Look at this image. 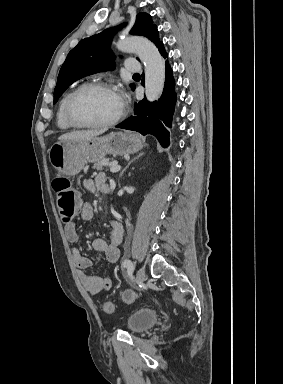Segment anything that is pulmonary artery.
Returning a JSON list of instances; mask_svg holds the SVG:
<instances>
[{"label":"pulmonary artery","mask_w":283,"mask_h":384,"mask_svg":"<svg viewBox=\"0 0 283 384\" xmlns=\"http://www.w3.org/2000/svg\"><path fill=\"white\" fill-rule=\"evenodd\" d=\"M125 69L126 71H138L139 70L138 61H127Z\"/></svg>","instance_id":"e3ab8cb5"}]
</instances>
